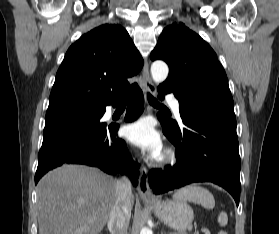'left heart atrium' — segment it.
<instances>
[{
  "label": "left heart atrium",
  "mask_w": 279,
  "mask_h": 234,
  "mask_svg": "<svg viewBox=\"0 0 279 234\" xmlns=\"http://www.w3.org/2000/svg\"><path fill=\"white\" fill-rule=\"evenodd\" d=\"M126 138L135 146L158 156L162 151V141L148 118H142L125 127Z\"/></svg>",
  "instance_id": "39dd6f15"
}]
</instances>
